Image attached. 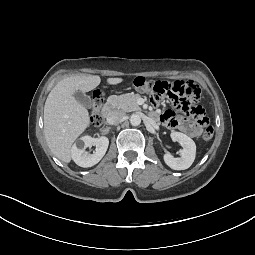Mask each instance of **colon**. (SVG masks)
<instances>
[{
    "label": "colon",
    "instance_id": "colon-1",
    "mask_svg": "<svg viewBox=\"0 0 255 255\" xmlns=\"http://www.w3.org/2000/svg\"><path fill=\"white\" fill-rule=\"evenodd\" d=\"M131 85L145 93H148L153 102H158L160 99L166 97L170 99L182 112L187 116L195 119L199 124L205 127L203 139L211 140L214 134L213 127L208 123L204 109L196 105L200 97V88L193 82H153L143 76H138L133 79ZM103 96L99 90L94 92L93 105L90 114V124L92 126H100L103 121L101 108L103 106Z\"/></svg>",
    "mask_w": 255,
    "mask_h": 255
}]
</instances>
